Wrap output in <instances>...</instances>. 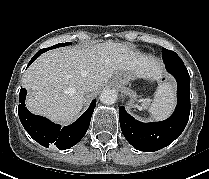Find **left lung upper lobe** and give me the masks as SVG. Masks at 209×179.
I'll list each match as a JSON object with an SVG mask.
<instances>
[{
    "mask_svg": "<svg viewBox=\"0 0 209 179\" xmlns=\"http://www.w3.org/2000/svg\"><path fill=\"white\" fill-rule=\"evenodd\" d=\"M163 60L165 64H175L181 60V58L173 51L163 48Z\"/></svg>",
    "mask_w": 209,
    "mask_h": 179,
    "instance_id": "left-lung-upper-lobe-1",
    "label": "left lung upper lobe"
}]
</instances>
